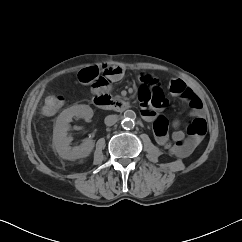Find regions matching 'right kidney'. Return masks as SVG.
I'll return each mask as SVG.
<instances>
[{
	"instance_id": "right-kidney-1",
	"label": "right kidney",
	"mask_w": 242,
	"mask_h": 242,
	"mask_svg": "<svg viewBox=\"0 0 242 242\" xmlns=\"http://www.w3.org/2000/svg\"><path fill=\"white\" fill-rule=\"evenodd\" d=\"M83 118L89 120L93 117V110L89 105H75L65 109L57 117L56 124L53 130V146L59 156L67 160H76L90 155L95 142L91 139L83 140L82 144L71 148V137H68L69 123L72 118Z\"/></svg>"
}]
</instances>
